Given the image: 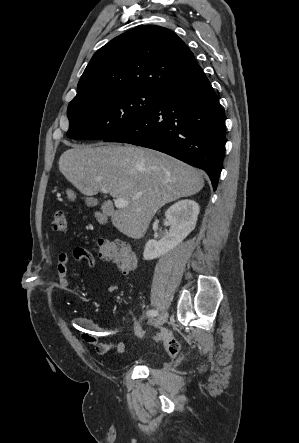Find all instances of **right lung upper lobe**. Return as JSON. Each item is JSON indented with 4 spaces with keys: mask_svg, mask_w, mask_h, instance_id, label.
Segmentation results:
<instances>
[{
    "mask_svg": "<svg viewBox=\"0 0 299 443\" xmlns=\"http://www.w3.org/2000/svg\"><path fill=\"white\" fill-rule=\"evenodd\" d=\"M201 70L194 54L174 32L155 25L139 26L93 55L70 103L116 90L159 92Z\"/></svg>",
    "mask_w": 299,
    "mask_h": 443,
    "instance_id": "right-lung-upper-lobe-1",
    "label": "right lung upper lobe"
}]
</instances>
